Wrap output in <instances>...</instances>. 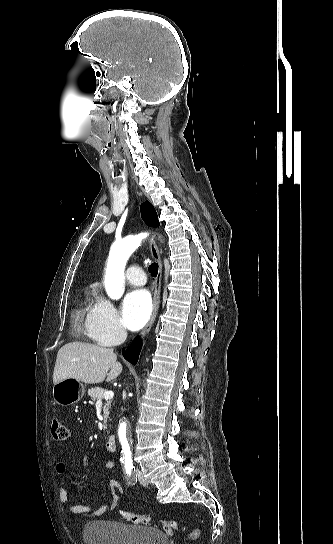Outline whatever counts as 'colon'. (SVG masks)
Instances as JSON below:
<instances>
[{
    "label": "colon",
    "instance_id": "1",
    "mask_svg": "<svg viewBox=\"0 0 333 544\" xmlns=\"http://www.w3.org/2000/svg\"><path fill=\"white\" fill-rule=\"evenodd\" d=\"M51 433L55 440L65 441L69 438V429L60 419H53L51 423ZM121 517L125 521L132 522L134 524L150 526L153 525V521L150 517L135 514L130 511H121ZM161 526L168 535H173L182 530L181 525L176 521H162ZM199 529H194L188 533V538L191 540L196 539L199 536Z\"/></svg>",
    "mask_w": 333,
    "mask_h": 544
}]
</instances>
